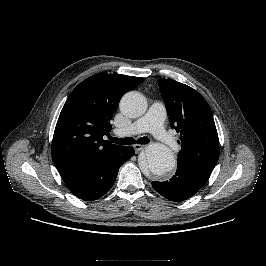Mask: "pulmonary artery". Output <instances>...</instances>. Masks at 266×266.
<instances>
[{
  "mask_svg": "<svg viewBox=\"0 0 266 266\" xmlns=\"http://www.w3.org/2000/svg\"><path fill=\"white\" fill-rule=\"evenodd\" d=\"M166 119V108L159 101L153 102L147 113L138 121L116 129L114 132L118 136H133L144 132L152 133L159 139L163 145L170 151L175 152L178 149V144L174 138L165 131L164 121Z\"/></svg>",
  "mask_w": 266,
  "mask_h": 266,
  "instance_id": "e3ab8cb5",
  "label": "pulmonary artery"
}]
</instances>
